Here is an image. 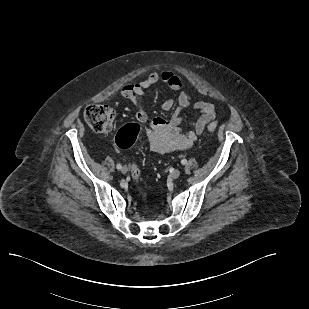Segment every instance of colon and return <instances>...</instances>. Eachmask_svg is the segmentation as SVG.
Returning <instances> with one entry per match:
<instances>
[{"label": "colon", "mask_w": 309, "mask_h": 309, "mask_svg": "<svg viewBox=\"0 0 309 309\" xmlns=\"http://www.w3.org/2000/svg\"><path fill=\"white\" fill-rule=\"evenodd\" d=\"M114 110L103 104H92L85 108L84 119L87 124L97 133L106 134L111 131ZM217 128L216 123L208 125L207 129L209 132L215 131ZM141 126L139 123H129L122 127L116 136V144L121 149H127L131 147L137 139ZM132 177L135 180L140 178V169L137 165H133L131 169Z\"/></svg>", "instance_id": "1"}]
</instances>
